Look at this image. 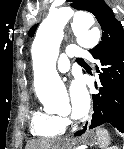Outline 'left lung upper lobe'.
Returning <instances> with one entry per match:
<instances>
[{
	"mask_svg": "<svg viewBox=\"0 0 124 149\" xmlns=\"http://www.w3.org/2000/svg\"><path fill=\"white\" fill-rule=\"evenodd\" d=\"M71 6L78 10L91 12L97 19L102 29L100 43L90 50L91 53L114 49L124 44V29L115 18L112 9L104 0H68ZM38 24L33 26L28 35L33 36Z\"/></svg>",
	"mask_w": 124,
	"mask_h": 149,
	"instance_id": "left-lung-upper-lobe-1",
	"label": "left lung upper lobe"
}]
</instances>
